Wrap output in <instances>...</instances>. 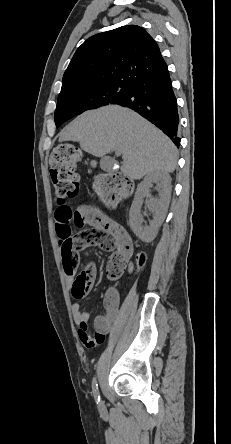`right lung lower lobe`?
Here are the masks:
<instances>
[{"label":"right lung lower lobe","mask_w":231,"mask_h":444,"mask_svg":"<svg viewBox=\"0 0 231 444\" xmlns=\"http://www.w3.org/2000/svg\"><path fill=\"white\" fill-rule=\"evenodd\" d=\"M114 104L137 111L166 133L179 147V115L168 69L134 82L127 96Z\"/></svg>","instance_id":"obj_1"}]
</instances>
